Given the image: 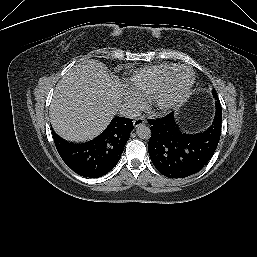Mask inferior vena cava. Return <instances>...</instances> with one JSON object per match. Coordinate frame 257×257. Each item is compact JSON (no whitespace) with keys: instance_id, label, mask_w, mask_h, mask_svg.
<instances>
[{"instance_id":"inferior-vena-cava-1","label":"inferior vena cava","mask_w":257,"mask_h":257,"mask_svg":"<svg viewBox=\"0 0 257 257\" xmlns=\"http://www.w3.org/2000/svg\"><path fill=\"white\" fill-rule=\"evenodd\" d=\"M119 112L122 117L130 118V119H135L140 115L139 109L129 104H123L120 107Z\"/></svg>"}]
</instances>
